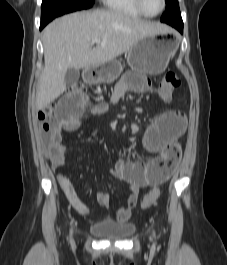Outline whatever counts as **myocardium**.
I'll list each match as a JSON object with an SVG mask.
<instances>
[{
	"mask_svg": "<svg viewBox=\"0 0 227 265\" xmlns=\"http://www.w3.org/2000/svg\"><path fill=\"white\" fill-rule=\"evenodd\" d=\"M134 2H135V5H136L137 9L139 10V12L143 16L149 17V18L156 17V16L160 15L164 11V9L166 7V0H161V2H162L161 9L157 13H155V14H149V13H147L144 10L143 5H142V0H134Z\"/></svg>",
	"mask_w": 227,
	"mask_h": 265,
	"instance_id": "1",
	"label": "myocardium"
}]
</instances>
